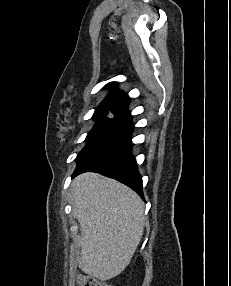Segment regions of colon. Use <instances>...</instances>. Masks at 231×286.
<instances>
[{
	"instance_id": "5ec220e1",
	"label": "colon",
	"mask_w": 231,
	"mask_h": 286,
	"mask_svg": "<svg viewBox=\"0 0 231 286\" xmlns=\"http://www.w3.org/2000/svg\"><path fill=\"white\" fill-rule=\"evenodd\" d=\"M78 286H112L94 277L81 275L78 279Z\"/></svg>"
}]
</instances>
